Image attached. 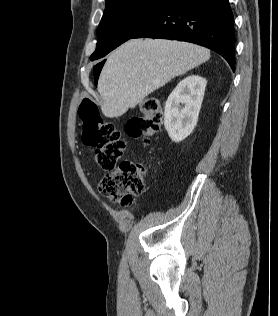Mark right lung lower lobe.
Returning a JSON list of instances; mask_svg holds the SVG:
<instances>
[{"instance_id": "right-lung-lower-lobe-1", "label": "right lung lower lobe", "mask_w": 278, "mask_h": 316, "mask_svg": "<svg viewBox=\"0 0 278 316\" xmlns=\"http://www.w3.org/2000/svg\"><path fill=\"white\" fill-rule=\"evenodd\" d=\"M228 0H167L132 38L187 41L207 47L235 69V32ZM98 74H95L97 80Z\"/></svg>"}]
</instances>
